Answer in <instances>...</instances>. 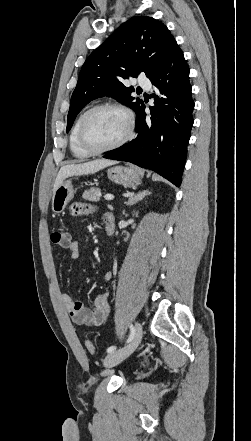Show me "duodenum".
I'll use <instances>...</instances> for the list:
<instances>
[{"mask_svg":"<svg viewBox=\"0 0 251 441\" xmlns=\"http://www.w3.org/2000/svg\"><path fill=\"white\" fill-rule=\"evenodd\" d=\"M105 232L108 236H112L115 232V221L114 218H107L105 221Z\"/></svg>","mask_w":251,"mask_h":441,"instance_id":"410a0bca","label":"duodenum"}]
</instances>
